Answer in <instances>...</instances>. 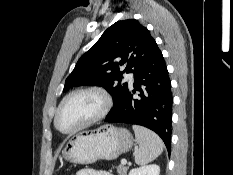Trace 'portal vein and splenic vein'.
I'll return each mask as SVG.
<instances>
[{"instance_id": "18ae733b", "label": "portal vein and splenic vein", "mask_w": 233, "mask_h": 175, "mask_svg": "<svg viewBox=\"0 0 233 175\" xmlns=\"http://www.w3.org/2000/svg\"><path fill=\"white\" fill-rule=\"evenodd\" d=\"M121 164H122V165H126V164H127V160H126V159H122V160H121Z\"/></svg>"}]
</instances>
